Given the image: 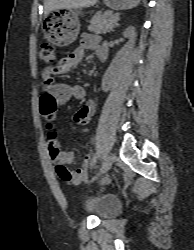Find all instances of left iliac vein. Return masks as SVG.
<instances>
[{
  "instance_id": "obj_1",
  "label": "left iliac vein",
  "mask_w": 194,
  "mask_h": 250,
  "mask_svg": "<svg viewBox=\"0 0 194 250\" xmlns=\"http://www.w3.org/2000/svg\"><path fill=\"white\" fill-rule=\"evenodd\" d=\"M113 162H114V156L112 154H108L103 161L100 173L101 174L107 173L112 167Z\"/></svg>"
}]
</instances>
